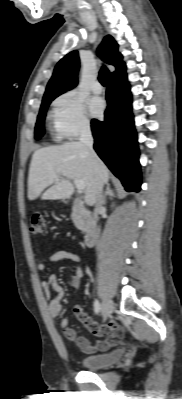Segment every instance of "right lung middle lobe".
<instances>
[{
  "label": "right lung middle lobe",
  "instance_id": "dd1d6c3e",
  "mask_svg": "<svg viewBox=\"0 0 182 399\" xmlns=\"http://www.w3.org/2000/svg\"><path fill=\"white\" fill-rule=\"evenodd\" d=\"M54 98L55 97L43 99V101H42L40 112H39V115L37 118L36 127H35V139L41 138L44 134V119H45L46 111H47L49 104L51 103V101Z\"/></svg>",
  "mask_w": 182,
  "mask_h": 399
}]
</instances>
